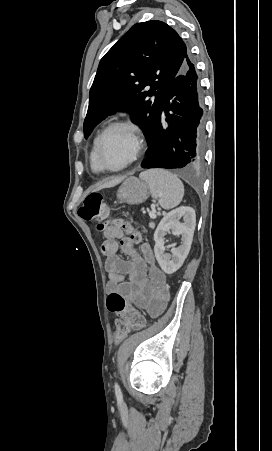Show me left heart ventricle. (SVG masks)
Masks as SVG:
<instances>
[{"instance_id": "obj_1", "label": "left heart ventricle", "mask_w": 272, "mask_h": 451, "mask_svg": "<svg viewBox=\"0 0 272 451\" xmlns=\"http://www.w3.org/2000/svg\"><path fill=\"white\" fill-rule=\"evenodd\" d=\"M130 144L126 134L113 130L106 136L99 154V164L108 170L120 169L128 160Z\"/></svg>"}]
</instances>
